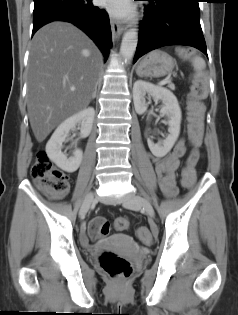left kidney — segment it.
Returning a JSON list of instances; mask_svg holds the SVG:
<instances>
[{
	"instance_id": "obj_1",
	"label": "left kidney",
	"mask_w": 238,
	"mask_h": 315,
	"mask_svg": "<svg viewBox=\"0 0 238 315\" xmlns=\"http://www.w3.org/2000/svg\"><path fill=\"white\" fill-rule=\"evenodd\" d=\"M146 94L148 98L152 97L155 101H162L163 105L160 112L169 118V134L165 140L155 144L150 138L147 139L152 154L156 157H163L172 149L180 134L181 109L177 98L170 90L155 86L146 81L138 80L133 86V101L137 114L141 115L145 113L148 108Z\"/></svg>"
}]
</instances>
